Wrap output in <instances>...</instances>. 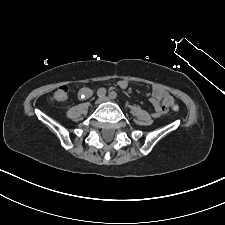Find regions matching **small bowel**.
<instances>
[{"label": "small bowel", "mask_w": 225, "mask_h": 225, "mask_svg": "<svg viewBox=\"0 0 225 225\" xmlns=\"http://www.w3.org/2000/svg\"><path fill=\"white\" fill-rule=\"evenodd\" d=\"M130 82L128 80H120L118 86L122 89L128 87ZM91 95V90L89 88H81L78 92V97L80 99L88 98ZM151 103L155 108L154 116H160L162 114V109H167L174 103L173 96L168 93L165 89L155 86L152 89Z\"/></svg>", "instance_id": "c3829d8e"}]
</instances>
